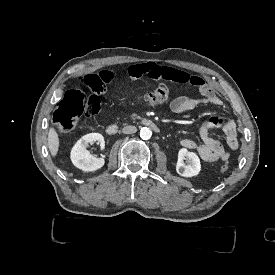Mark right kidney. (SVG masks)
I'll return each mask as SVG.
<instances>
[{
    "mask_svg": "<svg viewBox=\"0 0 275 275\" xmlns=\"http://www.w3.org/2000/svg\"><path fill=\"white\" fill-rule=\"evenodd\" d=\"M95 141L100 143L101 149L105 148L104 137L100 133L86 134L75 143L70 153V158L74 166L83 171H95L104 165V158H96L86 149L88 143Z\"/></svg>",
    "mask_w": 275,
    "mask_h": 275,
    "instance_id": "1",
    "label": "right kidney"
}]
</instances>
